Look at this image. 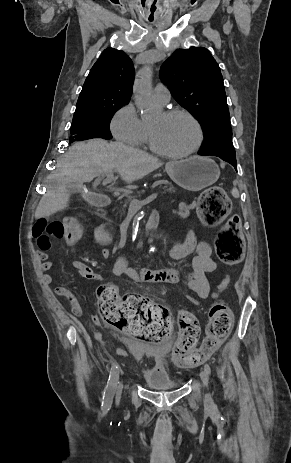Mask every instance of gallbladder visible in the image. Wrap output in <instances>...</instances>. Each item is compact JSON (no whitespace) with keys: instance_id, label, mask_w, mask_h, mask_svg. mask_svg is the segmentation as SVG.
Masks as SVG:
<instances>
[{"instance_id":"obj_1","label":"gallbladder","mask_w":291,"mask_h":463,"mask_svg":"<svg viewBox=\"0 0 291 463\" xmlns=\"http://www.w3.org/2000/svg\"><path fill=\"white\" fill-rule=\"evenodd\" d=\"M67 190L69 192H76V191H80V188L77 187L75 184H68L67 185Z\"/></svg>"}]
</instances>
